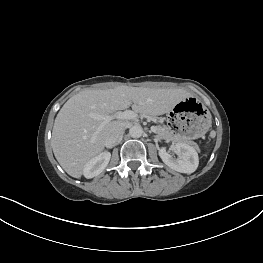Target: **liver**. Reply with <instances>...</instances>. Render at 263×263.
Listing matches in <instances>:
<instances>
[{"label": "liver", "mask_w": 263, "mask_h": 263, "mask_svg": "<svg viewBox=\"0 0 263 263\" xmlns=\"http://www.w3.org/2000/svg\"><path fill=\"white\" fill-rule=\"evenodd\" d=\"M183 89H152L119 86L106 90L87 89L72 96L58 112L52 131V148L61 167L72 177L80 178L84 165L103 151L109 133L124 129L122 120L102 121L90 113L110 115L128 108L135 113L162 115L189 97Z\"/></svg>", "instance_id": "liver-1"}]
</instances>
